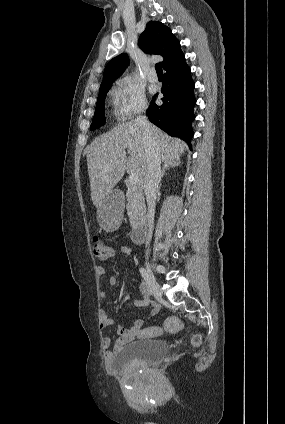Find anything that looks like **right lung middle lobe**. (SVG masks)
Instances as JSON below:
<instances>
[{
    "label": "right lung middle lobe",
    "instance_id": "obj_1",
    "mask_svg": "<svg viewBox=\"0 0 285 424\" xmlns=\"http://www.w3.org/2000/svg\"><path fill=\"white\" fill-rule=\"evenodd\" d=\"M110 88H111V85L105 86L99 89V95H98V99L96 103L95 114L93 117L92 124L90 126V130H94L104 125L106 122V119L104 116V101H105L106 94Z\"/></svg>",
    "mask_w": 285,
    "mask_h": 424
}]
</instances>
